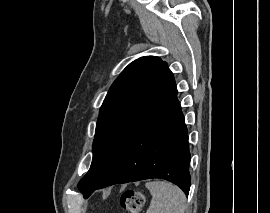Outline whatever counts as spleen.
<instances>
[{
    "label": "spleen",
    "instance_id": "3e777b00",
    "mask_svg": "<svg viewBox=\"0 0 270 213\" xmlns=\"http://www.w3.org/2000/svg\"><path fill=\"white\" fill-rule=\"evenodd\" d=\"M152 199L146 213H184L186 197L183 191L165 181L146 183Z\"/></svg>",
    "mask_w": 270,
    "mask_h": 213
}]
</instances>
